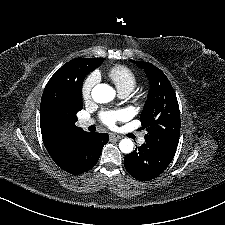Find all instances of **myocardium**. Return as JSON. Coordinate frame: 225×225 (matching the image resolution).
<instances>
[{
    "mask_svg": "<svg viewBox=\"0 0 225 225\" xmlns=\"http://www.w3.org/2000/svg\"><path fill=\"white\" fill-rule=\"evenodd\" d=\"M144 96H143V94H138L137 96H136V99L137 100H140V99H142Z\"/></svg>",
    "mask_w": 225,
    "mask_h": 225,
    "instance_id": "1",
    "label": "myocardium"
}]
</instances>
